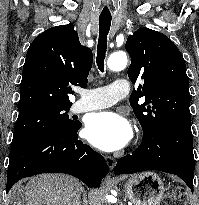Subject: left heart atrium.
Segmentation results:
<instances>
[{
	"label": "left heart atrium",
	"instance_id": "left-heart-atrium-1",
	"mask_svg": "<svg viewBox=\"0 0 199 205\" xmlns=\"http://www.w3.org/2000/svg\"><path fill=\"white\" fill-rule=\"evenodd\" d=\"M84 135L95 147L104 151H116L129 142L132 128L122 115L103 111L90 115Z\"/></svg>",
	"mask_w": 199,
	"mask_h": 205
}]
</instances>
